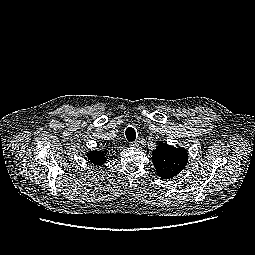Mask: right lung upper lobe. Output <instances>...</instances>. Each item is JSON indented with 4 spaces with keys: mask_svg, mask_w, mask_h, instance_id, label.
I'll use <instances>...</instances> for the list:
<instances>
[{
    "mask_svg": "<svg viewBox=\"0 0 255 255\" xmlns=\"http://www.w3.org/2000/svg\"><path fill=\"white\" fill-rule=\"evenodd\" d=\"M105 155L103 151H90L88 153V161L94 165H102L106 162Z\"/></svg>",
    "mask_w": 255,
    "mask_h": 255,
    "instance_id": "1",
    "label": "right lung upper lobe"
}]
</instances>
